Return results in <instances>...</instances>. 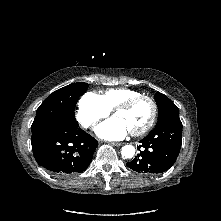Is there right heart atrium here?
<instances>
[{
	"label": "right heart atrium",
	"mask_w": 221,
	"mask_h": 221,
	"mask_svg": "<svg viewBox=\"0 0 221 221\" xmlns=\"http://www.w3.org/2000/svg\"><path fill=\"white\" fill-rule=\"evenodd\" d=\"M110 112L100 95L86 92L78 101L76 118L83 128L92 130Z\"/></svg>",
	"instance_id": "d8ad5b80"
}]
</instances>
